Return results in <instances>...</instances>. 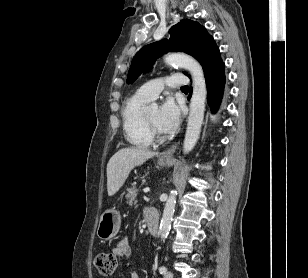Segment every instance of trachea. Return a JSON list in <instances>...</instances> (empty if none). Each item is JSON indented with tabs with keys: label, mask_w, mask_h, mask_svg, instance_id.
<instances>
[{
	"label": "trachea",
	"mask_w": 308,
	"mask_h": 278,
	"mask_svg": "<svg viewBox=\"0 0 308 278\" xmlns=\"http://www.w3.org/2000/svg\"><path fill=\"white\" fill-rule=\"evenodd\" d=\"M181 89L182 90H189V87L188 86H183Z\"/></svg>",
	"instance_id": "obj_1"
}]
</instances>
